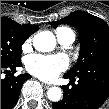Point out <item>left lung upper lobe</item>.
<instances>
[{
  "mask_svg": "<svg viewBox=\"0 0 109 109\" xmlns=\"http://www.w3.org/2000/svg\"><path fill=\"white\" fill-rule=\"evenodd\" d=\"M51 24H70L81 37L78 61L66 74L76 75L92 64L109 63V26L104 20L84 11H76Z\"/></svg>",
  "mask_w": 109,
  "mask_h": 109,
  "instance_id": "left-lung-upper-lobe-1",
  "label": "left lung upper lobe"
}]
</instances>
